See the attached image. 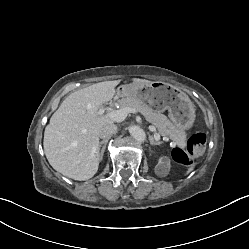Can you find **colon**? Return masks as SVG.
<instances>
[{"label": "colon", "instance_id": "colon-1", "mask_svg": "<svg viewBox=\"0 0 249 249\" xmlns=\"http://www.w3.org/2000/svg\"><path fill=\"white\" fill-rule=\"evenodd\" d=\"M206 146V135L202 132L193 134L187 144V152L176 148L172 152L175 162L181 165H189L192 157H198L203 154Z\"/></svg>", "mask_w": 249, "mask_h": 249}]
</instances>
